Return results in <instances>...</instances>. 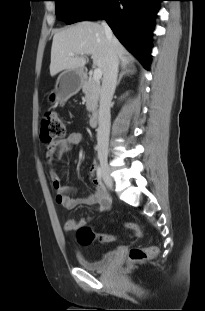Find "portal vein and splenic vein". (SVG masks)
<instances>
[{"label": "portal vein and splenic vein", "instance_id": "portal-vein-and-splenic-vein-1", "mask_svg": "<svg viewBox=\"0 0 205 311\" xmlns=\"http://www.w3.org/2000/svg\"><path fill=\"white\" fill-rule=\"evenodd\" d=\"M70 56H74V53H70L69 54ZM83 55V54H82ZM101 77H102V70L100 69V68H96L95 70H94V73H93V79L95 80V81H98L99 82V80L101 79Z\"/></svg>", "mask_w": 205, "mask_h": 311}]
</instances>
